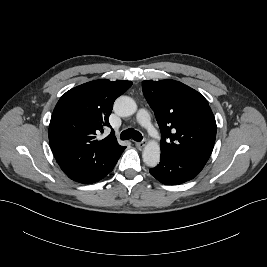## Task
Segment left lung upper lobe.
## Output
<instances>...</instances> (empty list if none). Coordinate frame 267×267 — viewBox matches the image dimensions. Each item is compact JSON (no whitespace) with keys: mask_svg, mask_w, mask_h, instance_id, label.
<instances>
[{"mask_svg":"<svg viewBox=\"0 0 267 267\" xmlns=\"http://www.w3.org/2000/svg\"><path fill=\"white\" fill-rule=\"evenodd\" d=\"M143 94L160 127L161 154L206 163L216 138V121L206 99L175 81H143Z\"/></svg>","mask_w":267,"mask_h":267,"instance_id":"1","label":"left lung upper lobe"}]
</instances>
